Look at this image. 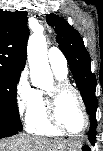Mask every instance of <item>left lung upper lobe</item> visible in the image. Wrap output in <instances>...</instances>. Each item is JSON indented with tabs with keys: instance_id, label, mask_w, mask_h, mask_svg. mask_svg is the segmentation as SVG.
Masks as SVG:
<instances>
[{
	"instance_id": "1",
	"label": "left lung upper lobe",
	"mask_w": 103,
	"mask_h": 151,
	"mask_svg": "<svg viewBox=\"0 0 103 151\" xmlns=\"http://www.w3.org/2000/svg\"><path fill=\"white\" fill-rule=\"evenodd\" d=\"M46 20L50 26L55 27L56 41L67 58L87 113H96L98 102L95 96L97 80L95 74L91 72V58L79 32L70 26L63 17L53 13L47 15Z\"/></svg>"
}]
</instances>
